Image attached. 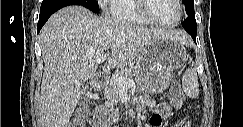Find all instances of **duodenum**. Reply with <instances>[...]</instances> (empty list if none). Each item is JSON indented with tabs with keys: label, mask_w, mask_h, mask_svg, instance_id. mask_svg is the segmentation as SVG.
Instances as JSON below:
<instances>
[{
	"label": "duodenum",
	"mask_w": 243,
	"mask_h": 127,
	"mask_svg": "<svg viewBox=\"0 0 243 127\" xmlns=\"http://www.w3.org/2000/svg\"><path fill=\"white\" fill-rule=\"evenodd\" d=\"M108 84V76L104 73H98L94 77L93 87L95 89H103ZM100 127H105L103 124H97Z\"/></svg>",
	"instance_id": "410a0bca"
}]
</instances>
